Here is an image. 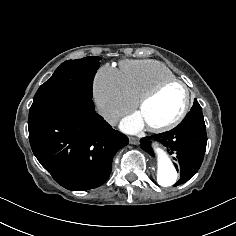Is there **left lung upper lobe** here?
<instances>
[{
	"label": "left lung upper lobe",
	"mask_w": 236,
	"mask_h": 236,
	"mask_svg": "<svg viewBox=\"0 0 236 236\" xmlns=\"http://www.w3.org/2000/svg\"><path fill=\"white\" fill-rule=\"evenodd\" d=\"M196 110H201V106L199 105V103L197 102V100H194V104L193 107L191 108V111H196Z\"/></svg>",
	"instance_id": "1"
}]
</instances>
